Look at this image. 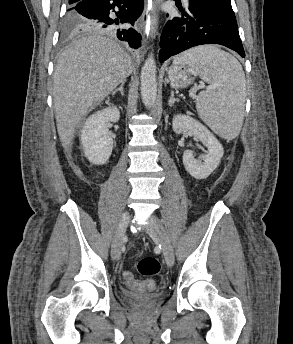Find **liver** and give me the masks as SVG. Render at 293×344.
Returning <instances> with one entry per match:
<instances>
[{"label":"liver","mask_w":293,"mask_h":344,"mask_svg":"<svg viewBox=\"0 0 293 344\" xmlns=\"http://www.w3.org/2000/svg\"><path fill=\"white\" fill-rule=\"evenodd\" d=\"M134 65L128 53L113 40L87 35L60 55L53 85V101L61 144L69 150L84 116L119 84Z\"/></svg>","instance_id":"6515ba94"}]
</instances>
